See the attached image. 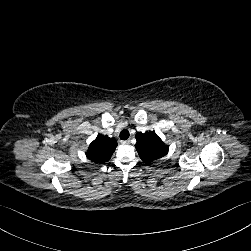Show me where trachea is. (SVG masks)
<instances>
[{"instance_id": "1", "label": "trachea", "mask_w": 251, "mask_h": 251, "mask_svg": "<svg viewBox=\"0 0 251 251\" xmlns=\"http://www.w3.org/2000/svg\"><path fill=\"white\" fill-rule=\"evenodd\" d=\"M129 131L127 129H123L121 132H120V139L121 140H126L129 138Z\"/></svg>"}]
</instances>
